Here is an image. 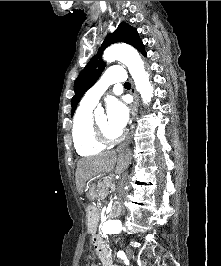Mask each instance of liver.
Wrapping results in <instances>:
<instances>
[{"label": "liver", "mask_w": 221, "mask_h": 266, "mask_svg": "<svg viewBox=\"0 0 221 266\" xmlns=\"http://www.w3.org/2000/svg\"><path fill=\"white\" fill-rule=\"evenodd\" d=\"M128 155L123 150L108 151L96 156L81 158L77 162L75 173L76 188L82 194L86 182L99 175L109 173L114 170L117 174H122L128 166Z\"/></svg>", "instance_id": "liver-1"}]
</instances>
